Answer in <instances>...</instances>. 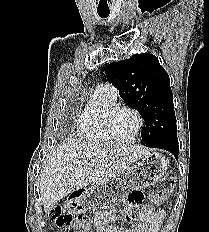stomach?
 <instances>
[{
    "label": "stomach",
    "instance_id": "obj_1",
    "mask_svg": "<svg viewBox=\"0 0 209 232\" xmlns=\"http://www.w3.org/2000/svg\"><path fill=\"white\" fill-rule=\"evenodd\" d=\"M167 160L160 153L143 156L135 166L121 171V176H114L112 182H102V186H90V191L80 194L79 198H70L72 206H67L65 214H71L75 221H88L86 214H91L90 206L97 207L113 203L114 199H126L129 190H138L154 185L165 174Z\"/></svg>",
    "mask_w": 209,
    "mask_h": 232
}]
</instances>
